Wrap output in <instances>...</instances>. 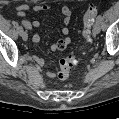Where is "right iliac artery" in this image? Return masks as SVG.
<instances>
[{
  "label": "right iliac artery",
  "instance_id": "1",
  "mask_svg": "<svg viewBox=\"0 0 119 119\" xmlns=\"http://www.w3.org/2000/svg\"><path fill=\"white\" fill-rule=\"evenodd\" d=\"M18 30H19V33L22 34V32H23V27H22V26H19V27H18Z\"/></svg>",
  "mask_w": 119,
  "mask_h": 119
}]
</instances>
